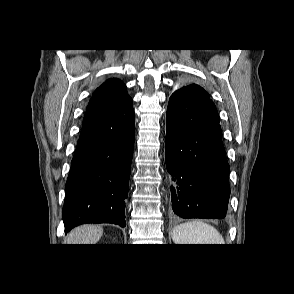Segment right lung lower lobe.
I'll return each mask as SVG.
<instances>
[{
	"label": "right lung lower lobe",
	"mask_w": 294,
	"mask_h": 294,
	"mask_svg": "<svg viewBox=\"0 0 294 294\" xmlns=\"http://www.w3.org/2000/svg\"><path fill=\"white\" fill-rule=\"evenodd\" d=\"M132 99L86 112L65 185V232L84 223H125L134 146Z\"/></svg>",
	"instance_id": "right-lung-lower-lobe-1"
}]
</instances>
